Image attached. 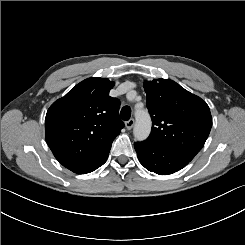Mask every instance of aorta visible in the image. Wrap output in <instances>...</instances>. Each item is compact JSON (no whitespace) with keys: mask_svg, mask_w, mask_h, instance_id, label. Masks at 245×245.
Here are the masks:
<instances>
[{"mask_svg":"<svg viewBox=\"0 0 245 245\" xmlns=\"http://www.w3.org/2000/svg\"><path fill=\"white\" fill-rule=\"evenodd\" d=\"M136 124L134 126V137L138 141L145 140L151 131V118L147 111L137 110L135 112Z\"/></svg>","mask_w":245,"mask_h":245,"instance_id":"1","label":"aorta"}]
</instances>
